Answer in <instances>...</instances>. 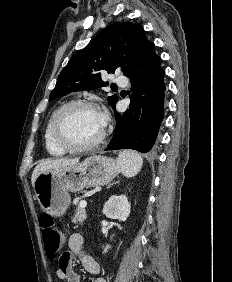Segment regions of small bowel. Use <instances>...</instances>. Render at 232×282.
I'll return each mask as SVG.
<instances>
[{
    "label": "small bowel",
    "mask_w": 232,
    "mask_h": 282,
    "mask_svg": "<svg viewBox=\"0 0 232 282\" xmlns=\"http://www.w3.org/2000/svg\"><path fill=\"white\" fill-rule=\"evenodd\" d=\"M84 239L79 233H73L68 238L69 251L63 253L58 261L56 275L63 282H80L79 275L73 270V259L78 257L84 270L93 275V282H106L101 275L98 262L83 251Z\"/></svg>",
    "instance_id": "c3829d8e"
}]
</instances>
